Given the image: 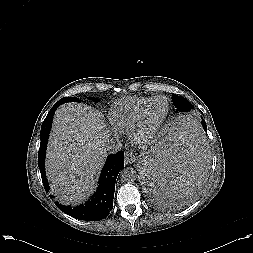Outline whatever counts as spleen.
Returning <instances> with one entry per match:
<instances>
[{
  "mask_svg": "<svg viewBox=\"0 0 253 253\" xmlns=\"http://www.w3.org/2000/svg\"><path fill=\"white\" fill-rule=\"evenodd\" d=\"M208 154L194 120H179L145 162L144 189L158 201L176 205L187 201L204 184Z\"/></svg>",
  "mask_w": 253,
  "mask_h": 253,
  "instance_id": "3e777b00",
  "label": "spleen"
}]
</instances>
